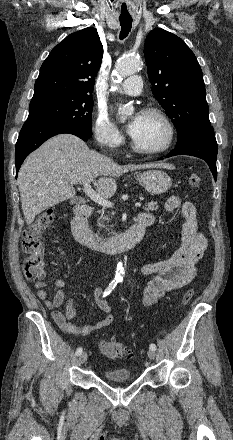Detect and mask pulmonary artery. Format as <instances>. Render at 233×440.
I'll use <instances>...</instances> for the list:
<instances>
[{"label": "pulmonary artery", "mask_w": 233, "mask_h": 440, "mask_svg": "<svg viewBox=\"0 0 233 440\" xmlns=\"http://www.w3.org/2000/svg\"><path fill=\"white\" fill-rule=\"evenodd\" d=\"M142 91V78L139 75H133L127 78L119 87V92L126 95L136 96Z\"/></svg>", "instance_id": "e3ab8cb5"}]
</instances>
